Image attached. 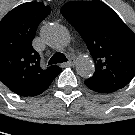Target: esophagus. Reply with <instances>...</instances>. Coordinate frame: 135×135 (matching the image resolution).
I'll use <instances>...</instances> for the list:
<instances>
[{
  "mask_svg": "<svg viewBox=\"0 0 135 135\" xmlns=\"http://www.w3.org/2000/svg\"><path fill=\"white\" fill-rule=\"evenodd\" d=\"M75 64V59L70 58L68 62L64 63L65 66H72Z\"/></svg>",
  "mask_w": 135,
  "mask_h": 135,
  "instance_id": "obj_1",
  "label": "esophagus"
}]
</instances>
